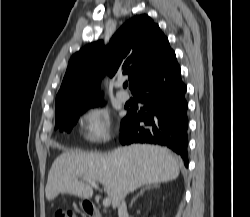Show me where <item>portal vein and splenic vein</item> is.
I'll return each mask as SVG.
<instances>
[{
	"label": "portal vein and splenic vein",
	"mask_w": 250,
	"mask_h": 217,
	"mask_svg": "<svg viewBox=\"0 0 250 217\" xmlns=\"http://www.w3.org/2000/svg\"><path fill=\"white\" fill-rule=\"evenodd\" d=\"M83 180H84L86 183L90 184L92 187H94V188H96V189H99L97 183H96L94 180L89 179V178H83ZM110 204H111L110 198H105V199L103 200V206H104V207H109Z\"/></svg>",
	"instance_id": "1"
}]
</instances>
